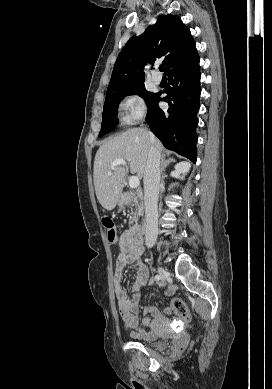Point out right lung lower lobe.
<instances>
[{"mask_svg":"<svg viewBox=\"0 0 272 389\" xmlns=\"http://www.w3.org/2000/svg\"><path fill=\"white\" fill-rule=\"evenodd\" d=\"M199 55L176 66L167 74L169 85L161 98L157 93L155 100L148 107L146 121L151 131L163 145L188 159L196 162V127L197 112L200 108V67ZM168 103L166 111L158 107V101Z\"/></svg>","mask_w":272,"mask_h":389,"instance_id":"1","label":"right lung lower lobe"}]
</instances>
